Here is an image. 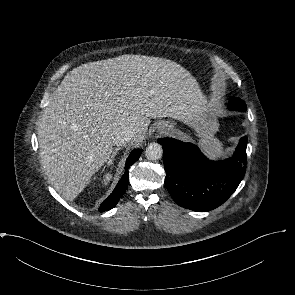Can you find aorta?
Segmentation results:
<instances>
[{
    "label": "aorta",
    "instance_id": "aorta-1",
    "mask_svg": "<svg viewBox=\"0 0 295 295\" xmlns=\"http://www.w3.org/2000/svg\"><path fill=\"white\" fill-rule=\"evenodd\" d=\"M163 154L162 146L158 143H151L147 146L145 156L150 161H157L161 159Z\"/></svg>",
    "mask_w": 295,
    "mask_h": 295
}]
</instances>
